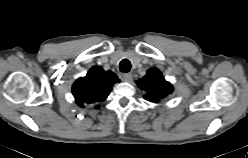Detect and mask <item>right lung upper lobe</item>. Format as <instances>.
<instances>
[{"label": "right lung upper lobe", "mask_w": 248, "mask_h": 158, "mask_svg": "<svg viewBox=\"0 0 248 158\" xmlns=\"http://www.w3.org/2000/svg\"><path fill=\"white\" fill-rule=\"evenodd\" d=\"M119 81L113 72L104 71L101 67L94 66L85 77L77 79L73 84V95L80 107L97 104L107 98L113 84Z\"/></svg>", "instance_id": "obj_1"}]
</instances>
